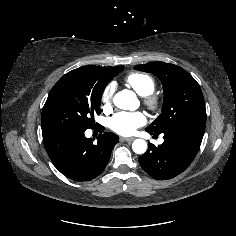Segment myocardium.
Instances as JSON below:
<instances>
[{
  "label": "myocardium",
  "mask_w": 236,
  "mask_h": 236,
  "mask_svg": "<svg viewBox=\"0 0 236 236\" xmlns=\"http://www.w3.org/2000/svg\"><path fill=\"white\" fill-rule=\"evenodd\" d=\"M143 102L145 106L151 111L159 110L162 104L161 98L154 93L143 96Z\"/></svg>",
  "instance_id": "f54148a6"
}]
</instances>
